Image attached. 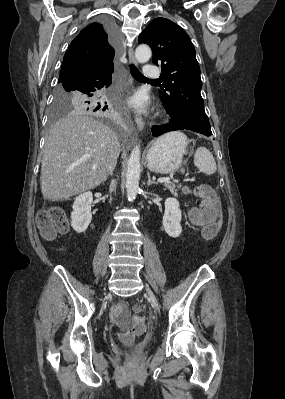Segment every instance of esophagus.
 <instances>
[{
	"label": "esophagus",
	"mask_w": 285,
	"mask_h": 399,
	"mask_svg": "<svg viewBox=\"0 0 285 399\" xmlns=\"http://www.w3.org/2000/svg\"><path fill=\"white\" fill-rule=\"evenodd\" d=\"M128 57H129V62L131 65H137V60L134 55V48L129 47L128 49ZM135 122L137 124V128L139 131H142L144 129V121L140 116L135 117Z\"/></svg>",
	"instance_id": "obj_1"
}]
</instances>
